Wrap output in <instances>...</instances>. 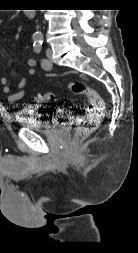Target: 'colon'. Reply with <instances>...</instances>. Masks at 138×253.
<instances>
[{
    "label": "colon",
    "instance_id": "1",
    "mask_svg": "<svg viewBox=\"0 0 138 253\" xmlns=\"http://www.w3.org/2000/svg\"><path fill=\"white\" fill-rule=\"evenodd\" d=\"M68 88L72 93L84 95L88 99L87 107L78 116V126L75 131V139L81 141L98 128L104 116V101L94 89L82 81H73L69 83ZM35 100L41 104L53 103L56 101V94L53 92L37 94Z\"/></svg>",
    "mask_w": 138,
    "mask_h": 253
}]
</instances>
